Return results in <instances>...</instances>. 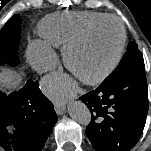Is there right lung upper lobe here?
Returning a JSON list of instances; mask_svg holds the SVG:
<instances>
[{
    "label": "right lung upper lobe",
    "instance_id": "obj_1",
    "mask_svg": "<svg viewBox=\"0 0 151 151\" xmlns=\"http://www.w3.org/2000/svg\"><path fill=\"white\" fill-rule=\"evenodd\" d=\"M2 120H3V117L0 116V125H1V124L3 125V123H1Z\"/></svg>",
    "mask_w": 151,
    "mask_h": 151
}]
</instances>
